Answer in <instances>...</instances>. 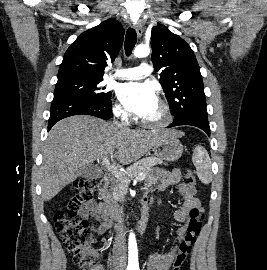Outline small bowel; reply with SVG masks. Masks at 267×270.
<instances>
[{
    "mask_svg": "<svg viewBox=\"0 0 267 270\" xmlns=\"http://www.w3.org/2000/svg\"><path fill=\"white\" fill-rule=\"evenodd\" d=\"M154 186H157V190L160 192L173 187L175 192L183 199L180 208L173 213L175 220L182 223L176 231L178 244L167 252L157 251L150 257L152 270H168L187 232L188 221L192 213L195 211L203 213V208L196 196V189L181 181V172L177 169L172 171L158 169L147 178L145 196L148 199ZM78 215L90 222L91 230L95 235H102L111 227L104 205L96 201L92 200L83 204L78 210Z\"/></svg>",
    "mask_w": 267,
    "mask_h": 270,
    "instance_id": "c3829d8e",
    "label": "small bowel"
}]
</instances>
